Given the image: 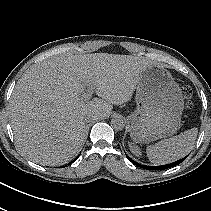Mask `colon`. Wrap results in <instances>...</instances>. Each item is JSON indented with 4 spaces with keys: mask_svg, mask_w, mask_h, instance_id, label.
Here are the masks:
<instances>
[{
    "mask_svg": "<svg viewBox=\"0 0 211 211\" xmlns=\"http://www.w3.org/2000/svg\"><path fill=\"white\" fill-rule=\"evenodd\" d=\"M182 93L186 101L190 104L192 98V90L188 86H184L182 89Z\"/></svg>",
    "mask_w": 211,
    "mask_h": 211,
    "instance_id": "5ec220e1",
    "label": "colon"
}]
</instances>
